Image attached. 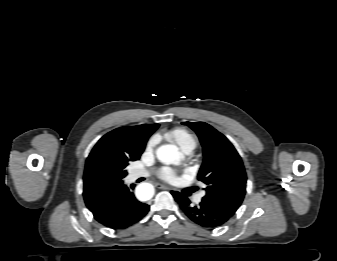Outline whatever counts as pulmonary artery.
Segmentation results:
<instances>
[{
	"label": "pulmonary artery",
	"mask_w": 337,
	"mask_h": 261,
	"mask_svg": "<svg viewBox=\"0 0 337 261\" xmlns=\"http://www.w3.org/2000/svg\"><path fill=\"white\" fill-rule=\"evenodd\" d=\"M184 152H185L186 154H190V153L192 152V150L189 149V150H186V151H184ZM145 176H148V172L145 171V170H141V169L133 170V171L131 172V174H130V178H131L132 180L138 179V178H140V177H145ZM201 198H202V195L196 196L195 202H197V203L200 202V201H201Z\"/></svg>",
	"instance_id": "1"
}]
</instances>
